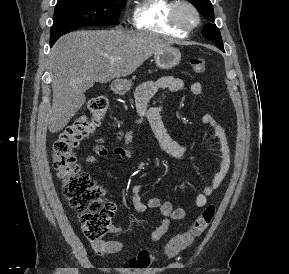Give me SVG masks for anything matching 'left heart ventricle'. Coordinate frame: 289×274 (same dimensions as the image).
Instances as JSON below:
<instances>
[{"mask_svg": "<svg viewBox=\"0 0 289 274\" xmlns=\"http://www.w3.org/2000/svg\"><path fill=\"white\" fill-rule=\"evenodd\" d=\"M180 17L186 24H191L195 20L193 13L187 8L180 11Z\"/></svg>", "mask_w": 289, "mask_h": 274, "instance_id": "left-heart-ventricle-1", "label": "left heart ventricle"}]
</instances>
